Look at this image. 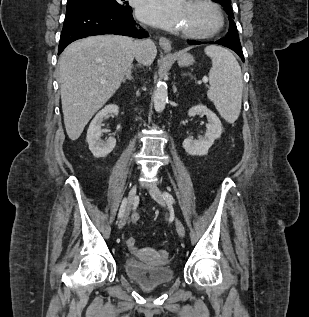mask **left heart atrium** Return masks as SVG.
I'll return each mask as SVG.
<instances>
[{
    "mask_svg": "<svg viewBox=\"0 0 309 317\" xmlns=\"http://www.w3.org/2000/svg\"><path fill=\"white\" fill-rule=\"evenodd\" d=\"M188 4L187 0H139L137 16L166 30H181Z\"/></svg>",
    "mask_w": 309,
    "mask_h": 317,
    "instance_id": "obj_1",
    "label": "left heart atrium"
}]
</instances>
